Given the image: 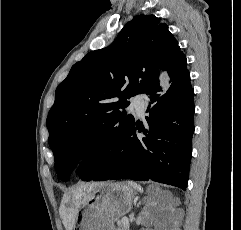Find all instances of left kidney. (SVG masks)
<instances>
[{
    "instance_id": "1",
    "label": "left kidney",
    "mask_w": 241,
    "mask_h": 230,
    "mask_svg": "<svg viewBox=\"0 0 241 230\" xmlns=\"http://www.w3.org/2000/svg\"><path fill=\"white\" fill-rule=\"evenodd\" d=\"M155 220H156V217H154L149 213H145L143 223L146 226V228H143L141 230H151L149 227L154 223Z\"/></svg>"
}]
</instances>
